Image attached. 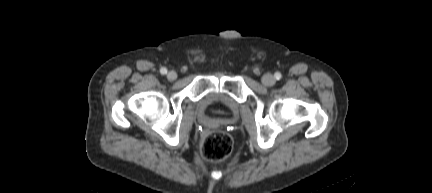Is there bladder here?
I'll return each mask as SVG.
<instances>
[{
	"label": "bladder",
	"instance_id": "1",
	"mask_svg": "<svg viewBox=\"0 0 432 193\" xmlns=\"http://www.w3.org/2000/svg\"><path fill=\"white\" fill-rule=\"evenodd\" d=\"M199 105L203 109H208L213 105H217L219 107L218 113L212 116L209 121H218L226 118L225 111L232 109L235 106V102L225 93L210 92L199 100Z\"/></svg>",
	"mask_w": 432,
	"mask_h": 193
}]
</instances>
